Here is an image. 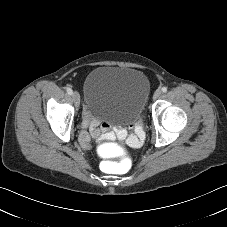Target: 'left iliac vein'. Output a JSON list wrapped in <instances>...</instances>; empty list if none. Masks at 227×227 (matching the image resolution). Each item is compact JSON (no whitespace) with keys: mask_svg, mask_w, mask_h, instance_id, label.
I'll return each instance as SVG.
<instances>
[{"mask_svg":"<svg viewBox=\"0 0 227 227\" xmlns=\"http://www.w3.org/2000/svg\"><path fill=\"white\" fill-rule=\"evenodd\" d=\"M161 94H162V91L161 90H156L155 91V93H154V95H153V99H158L160 96H161Z\"/></svg>","mask_w":227,"mask_h":227,"instance_id":"1","label":"left iliac vein"}]
</instances>
